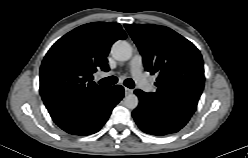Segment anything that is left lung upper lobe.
<instances>
[{"label": "left lung upper lobe", "mask_w": 248, "mask_h": 158, "mask_svg": "<svg viewBox=\"0 0 248 158\" xmlns=\"http://www.w3.org/2000/svg\"><path fill=\"white\" fill-rule=\"evenodd\" d=\"M143 56L144 67L157 73L149 96L162 107L191 117L205 82L203 59L186 38L165 26L125 24Z\"/></svg>", "instance_id": "1"}]
</instances>
